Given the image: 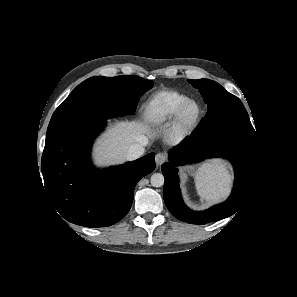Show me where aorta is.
<instances>
[{"label":"aorta","mask_w":297,"mask_h":297,"mask_svg":"<svg viewBox=\"0 0 297 297\" xmlns=\"http://www.w3.org/2000/svg\"><path fill=\"white\" fill-rule=\"evenodd\" d=\"M151 185L154 187H161L164 185V176L161 173H154L151 176Z\"/></svg>","instance_id":"1"}]
</instances>
